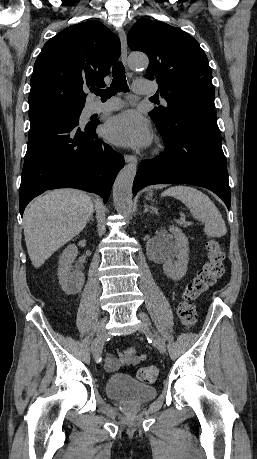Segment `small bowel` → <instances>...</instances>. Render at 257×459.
Instances as JSON below:
<instances>
[{
    "label": "small bowel",
    "instance_id": "c3829d8e",
    "mask_svg": "<svg viewBox=\"0 0 257 459\" xmlns=\"http://www.w3.org/2000/svg\"><path fill=\"white\" fill-rule=\"evenodd\" d=\"M145 359V354H138L136 348L131 347L119 351L117 355L107 354L105 357V367L107 371L113 372L122 365H136Z\"/></svg>",
    "mask_w": 257,
    "mask_h": 459
}]
</instances>
